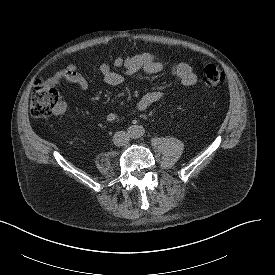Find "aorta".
Listing matches in <instances>:
<instances>
[{"label":"aorta","mask_w":275,"mask_h":275,"mask_svg":"<svg viewBox=\"0 0 275 275\" xmlns=\"http://www.w3.org/2000/svg\"><path fill=\"white\" fill-rule=\"evenodd\" d=\"M144 129L141 126L134 125L128 128V136L130 138H139L143 135Z\"/></svg>","instance_id":"762f6f07"}]
</instances>
